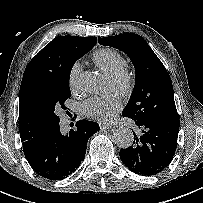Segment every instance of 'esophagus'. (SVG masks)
<instances>
[{
    "instance_id": "34e87169",
    "label": "esophagus",
    "mask_w": 203,
    "mask_h": 203,
    "mask_svg": "<svg viewBox=\"0 0 203 203\" xmlns=\"http://www.w3.org/2000/svg\"><path fill=\"white\" fill-rule=\"evenodd\" d=\"M100 128L101 129H114L115 126L111 125V124H108V123H100Z\"/></svg>"
}]
</instances>
